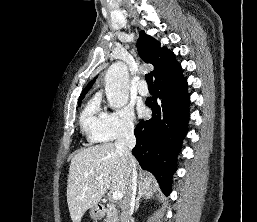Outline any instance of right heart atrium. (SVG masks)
<instances>
[{
  "label": "right heart atrium",
  "instance_id": "1",
  "mask_svg": "<svg viewBox=\"0 0 257 222\" xmlns=\"http://www.w3.org/2000/svg\"><path fill=\"white\" fill-rule=\"evenodd\" d=\"M113 116H119L123 119L119 127H113L109 124L110 115L104 114L101 132L99 135L102 141H111L117 138L126 137L133 134L135 130V116L130 107L117 109Z\"/></svg>",
  "mask_w": 257,
  "mask_h": 222
}]
</instances>
